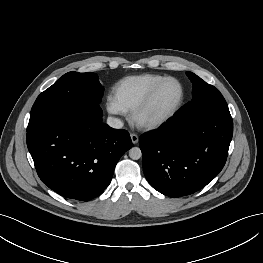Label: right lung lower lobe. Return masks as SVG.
Instances as JSON below:
<instances>
[{
  "instance_id": "obj_1",
  "label": "right lung lower lobe",
  "mask_w": 263,
  "mask_h": 263,
  "mask_svg": "<svg viewBox=\"0 0 263 263\" xmlns=\"http://www.w3.org/2000/svg\"><path fill=\"white\" fill-rule=\"evenodd\" d=\"M26 140L42 182L59 195L80 201L106 189L117 162L132 147L127 131L102 123L99 105L57 115L27 132Z\"/></svg>"
}]
</instances>
